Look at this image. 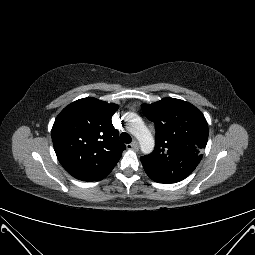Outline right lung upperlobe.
<instances>
[{"label":"right lung upper lobe","mask_w":255,"mask_h":255,"mask_svg":"<svg viewBox=\"0 0 255 255\" xmlns=\"http://www.w3.org/2000/svg\"><path fill=\"white\" fill-rule=\"evenodd\" d=\"M118 105L93 97L65 107L52 127L57 158L65 170L82 181H99L119 161L125 145L111 122Z\"/></svg>","instance_id":"obj_1"}]
</instances>
